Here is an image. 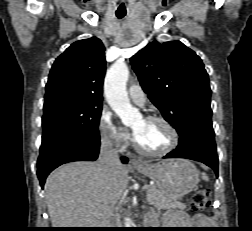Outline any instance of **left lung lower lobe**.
<instances>
[{"label": "left lung lower lobe", "instance_id": "1", "mask_svg": "<svg viewBox=\"0 0 252 231\" xmlns=\"http://www.w3.org/2000/svg\"><path fill=\"white\" fill-rule=\"evenodd\" d=\"M178 147L163 158H187L210 166L218 176V156L212 123H194L179 134Z\"/></svg>", "mask_w": 252, "mask_h": 231}]
</instances>
